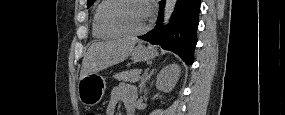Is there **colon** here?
I'll return each mask as SVG.
<instances>
[{
  "mask_svg": "<svg viewBox=\"0 0 285 115\" xmlns=\"http://www.w3.org/2000/svg\"><path fill=\"white\" fill-rule=\"evenodd\" d=\"M88 115H95V113L94 112H90V113H88Z\"/></svg>",
  "mask_w": 285,
  "mask_h": 115,
  "instance_id": "5ec220e1",
  "label": "colon"
}]
</instances>
